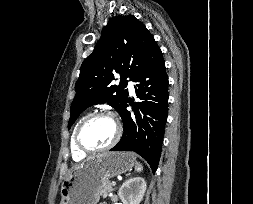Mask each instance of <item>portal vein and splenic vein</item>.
<instances>
[{
    "instance_id": "obj_1",
    "label": "portal vein and splenic vein",
    "mask_w": 253,
    "mask_h": 204,
    "mask_svg": "<svg viewBox=\"0 0 253 204\" xmlns=\"http://www.w3.org/2000/svg\"><path fill=\"white\" fill-rule=\"evenodd\" d=\"M111 185H112V186H115V185H116V182H115V181H112V182H111Z\"/></svg>"
}]
</instances>
